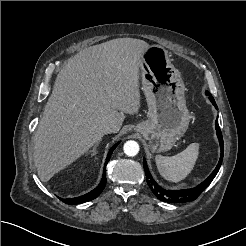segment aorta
I'll return each instance as SVG.
<instances>
[{
  "label": "aorta",
  "instance_id": "762f6f07",
  "mask_svg": "<svg viewBox=\"0 0 246 246\" xmlns=\"http://www.w3.org/2000/svg\"><path fill=\"white\" fill-rule=\"evenodd\" d=\"M123 149L127 156L133 157L139 152V144L136 141L129 140L124 144Z\"/></svg>",
  "mask_w": 246,
  "mask_h": 246
}]
</instances>
